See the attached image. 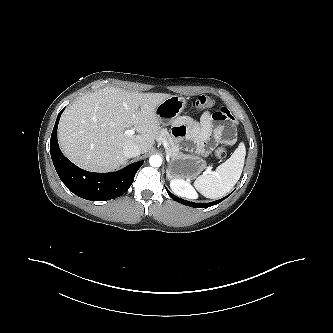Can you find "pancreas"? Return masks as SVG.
I'll list each match as a JSON object with an SVG mask.
<instances>
[{
	"mask_svg": "<svg viewBox=\"0 0 333 333\" xmlns=\"http://www.w3.org/2000/svg\"><path fill=\"white\" fill-rule=\"evenodd\" d=\"M157 140L159 142H165L166 143V153L171 158L178 157L181 153L179 152V141L177 139H174L170 136L169 132L166 129H163L159 136L157 137Z\"/></svg>",
	"mask_w": 333,
	"mask_h": 333,
	"instance_id": "1",
	"label": "pancreas"
}]
</instances>
